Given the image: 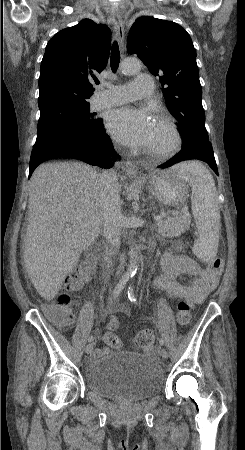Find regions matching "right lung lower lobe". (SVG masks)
Instances as JSON below:
<instances>
[{
    "label": "right lung lower lobe",
    "mask_w": 245,
    "mask_h": 450,
    "mask_svg": "<svg viewBox=\"0 0 245 450\" xmlns=\"http://www.w3.org/2000/svg\"><path fill=\"white\" fill-rule=\"evenodd\" d=\"M112 155H116V152L110 137L105 134L100 120L97 122L96 128L86 137L64 139L40 150H33L30 158L29 178L39 164L49 159L74 158L94 166L110 168L113 166L110 160Z\"/></svg>",
    "instance_id": "1"
}]
</instances>
